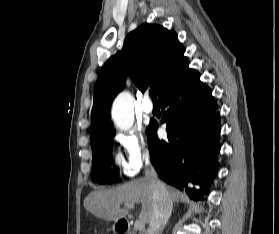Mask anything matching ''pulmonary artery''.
Instances as JSON below:
<instances>
[{"mask_svg": "<svg viewBox=\"0 0 279 234\" xmlns=\"http://www.w3.org/2000/svg\"><path fill=\"white\" fill-rule=\"evenodd\" d=\"M142 110L147 114H151L153 112V104L149 98H145L142 103Z\"/></svg>", "mask_w": 279, "mask_h": 234, "instance_id": "obj_1", "label": "pulmonary artery"}]
</instances>
